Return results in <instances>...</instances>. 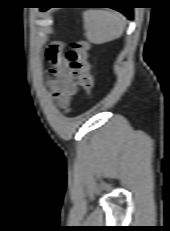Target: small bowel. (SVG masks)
Masks as SVG:
<instances>
[{"label": "small bowel", "instance_id": "obj_1", "mask_svg": "<svg viewBox=\"0 0 170 231\" xmlns=\"http://www.w3.org/2000/svg\"><path fill=\"white\" fill-rule=\"evenodd\" d=\"M47 59L51 63L49 85L52 96L60 107L67 109L76 92V84L68 60L63 56L62 45H51L47 51Z\"/></svg>", "mask_w": 170, "mask_h": 231}]
</instances>
